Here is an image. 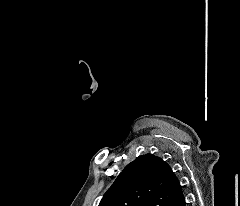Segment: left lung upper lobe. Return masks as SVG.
Here are the masks:
<instances>
[{
  "mask_svg": "<svg viewBox=\"0 0 240 206\" xmlns=\"http://www.w3.org/2000/svg\"><path fill=\"white\" fill-rule=\"evenodd\" d=\"M180 189L171 167L161 158L146 154L125 167L99 206H169Z\"/></svg>",
  "mask_w": 240,
  "mask_h": 206,
  "instance_id": "obj_1",
  "label": "left lung upper lobe"
}]
</instances>
